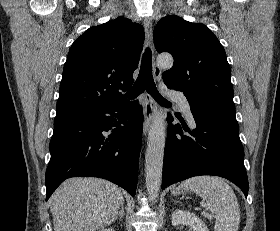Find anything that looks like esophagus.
Segmentation results:
<instances>
[{
  "mask_svg": "<svg viewBox=\"0 0 280 231\" xmlns=\"http://www.w3.org/2000/svg\"><path fill=\"white\" fill-rule=\"evenodd\" d=\"M144 29H145V35L147 39V44L151 48L152 51H154L153 48V41H152V32H153V27H152V20L151 17L146 16L144 18ZM153 75L155 80H160L161 78V68L157 66L155 63L153 64ZM155 109H156V103L152 96H150L149 93L144 94V122H143V134L146 136L151 122L154 118L155 115Z\"/></svg>",
  "mask_w": 280,
  "mask_h": 231,
  "instance_id": "1",
  "label": "esophagus"
}]
</instances>
